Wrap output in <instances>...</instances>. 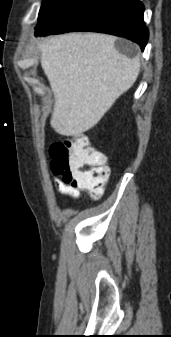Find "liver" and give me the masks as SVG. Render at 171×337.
Returning <instances> with one entry per match:
<instances>
[{"label": "liver", "instance_id": "1", "mask_svg": "<svg viewBox=\"0 0 171 337\" xmlns=\"http://www.w3.org/2000/svg\"><path fill=\"white\" fill-rule=\"evenodd\" d=\"M104 34H65L39 44L41 66L54 93L51 126L73 136L94 127L136 81L140 62Z\"/></svg>", "mask_w": 171, "mask_h": 337}]
</instances>
